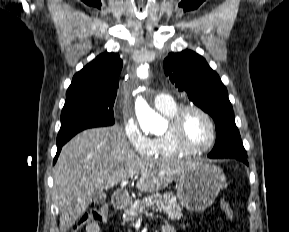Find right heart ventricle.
Wrapping results in <instances>:
<instances>
[{
	"label": "right heart ventricle",
	"instance_id": "e07e8e85",
	"mask_svg": "<svg viewBox=\"0 0 289 232\" xmlns=\"http://www.w3.org/2000/svg\"><path fill=\"white\" fill-rule=\"evenodd\" d=\"M177 109L178 106L173 102L169 107L160 109V111L170 120L177 111ZM152 141L153 147L150 154L152 157L172 158L188 154L175 145L168 131L163 134L157 135L154 139H152Z\"/></svg>",
	"mask_w": 289,
	"mask_h": 232
}]
</instances>
